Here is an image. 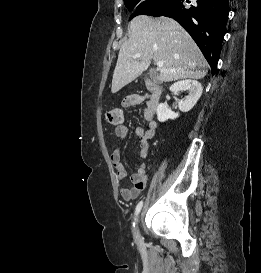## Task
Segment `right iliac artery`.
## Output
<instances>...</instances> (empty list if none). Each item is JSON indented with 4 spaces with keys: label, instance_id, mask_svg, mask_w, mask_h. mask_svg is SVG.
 Wrapping results in <instances>:
<instances>
[{
    "label": "right iliac artery",
    "instance_id": "82829eb1",
    "mask_svg": "<svg viewBox=\"0 0 261 273\" xmlns=\"http://www.w3.org/2000/svg\"><path fill=\"white\" fill-rule=\"evenodd\" d=\"M142 206H143V202L140 201V202L138 203V205L136 206L135 216H137V215L139 214V212L141 211ZM133 227H135V223H133Z\"/></svg>",
    "mask_w": 261,
    "mask_h": 273
}]
</instances>
